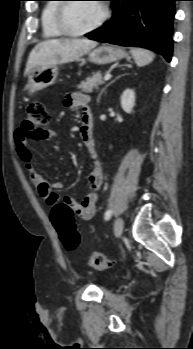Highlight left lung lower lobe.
Here are the masks:
<instances>
[{"label":"left lung lower lobe","mask_w":193,"mask_h":349,"mask_svg":"<svg viewBox=\"0 0 193 349\" xmlns=\"http://www.w3.org/2000/svg\"><path fill=\"white\" fill-rule=\"evenodd\" d=\"M109 24L86 34L91 40L122 46H138L172 56V23L177 0H110Z\"/></svg>","instance_id":"left-lung-lower-lobe-1"}]
</instances>
